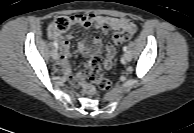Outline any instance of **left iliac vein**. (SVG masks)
Masks as SVG:
<instances>
[{
	"label": "left iliac vein",
	"mask_w": 194,
	"mask_h": 133,
	"mask_svg": "<svg viewBox=\"0 0 194 133\" xmlns=\"http://www.w3.org/2000/svg\"><path fill=\"white\" fill-rule=\"evenodd\" d=\"M131 53L130 52H126L125 54H124V57H123V61L124 62H129L130 60H131Z\"/></svg>",
	"instance_id": "4c4485c4"
}]
</instances>
